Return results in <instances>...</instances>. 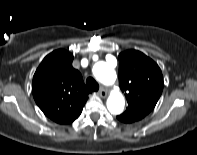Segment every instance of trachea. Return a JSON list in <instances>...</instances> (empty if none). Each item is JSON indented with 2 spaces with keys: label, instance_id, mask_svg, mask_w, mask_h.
<instances>
[{
  "label": "trachea",
  "instance_id": "3493384b",
  "mask_svg": "<svg viewBox=\"0 0 197 155\" xmlns=\"http://www.w3.org/2000/svg\"><path fill=\"white\" fill-rule=\"evenodd\" d=\"M86 84H87L88 88L92 91H98V89H99V84L92 77L87 78Z\"/></svg>",
  "mask_w": 197,
  "mask_h": 155
}]
</instances>
